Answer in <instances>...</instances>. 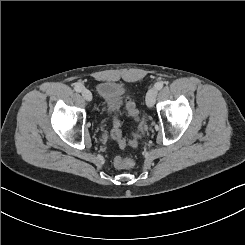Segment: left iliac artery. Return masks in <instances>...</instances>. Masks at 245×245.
<instances>
[{
	"mask_svg": "<svg viewBox=\"0 0 245 245\" xmlns=\"http://www.w3.org/2000/svg\"><path fill=\"white\" fill-rule=\"evenodd\" d=\"M163 86H164V83H163V82H157V83L155 84V88H156L157 90H161V89L163 88Z\"/></svg>",
	"mask_w": 245,
	"mask_h": 245,
	"instance_id": "left-iliac-artery-1",
	"label": "left iliac artery"
}]
</instances>
